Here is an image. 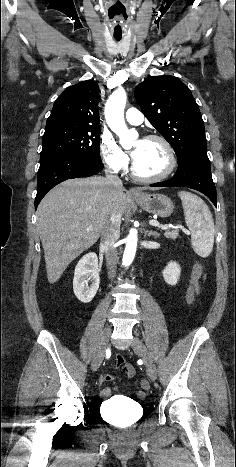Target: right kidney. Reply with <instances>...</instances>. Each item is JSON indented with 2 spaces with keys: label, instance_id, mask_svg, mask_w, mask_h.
Returning <instances> with one entry per match:
<instances>
[{
  "label": "right kidney",
  "instance_id": "right-kidney-1",
  "mask_svg": "<svg viewBox=\"0 0 236 467\" xmlns=\"http://www.w3.org/2000/svg\"><path fill=\"white\" fill-rule=\"evenodd\" d=\"M91 280V284L88 282ZM100 277L98 258L94 252L84 255L75 267L73 290L75 296L83 303H89L99 288Z\"/></svg>",
  "mask_w": 236,
  "mask_h": 467
}]
</instances>
